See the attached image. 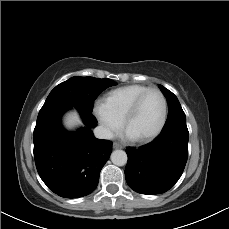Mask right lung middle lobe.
<instances>
[{"label": "right lung middle lobe", "mask_w": 229, "mask_h": 229, "mask_svg": "<svg viewBox=\"0 0 229 229\" xmlns=\"http://www.w3.org/2000/svg\"><path fill=\"white\" fill-rule=\"evenodd\" d=\"M117 85L111 79L72 77L57 85L48 95L40 111L58 107H76L92 112L98 95L110 86Z\"/></svg>", "instance_id": "obj_1"}]
</instances>
